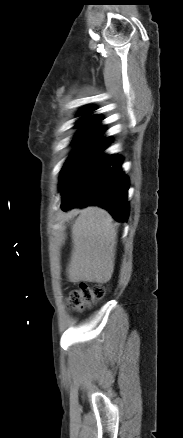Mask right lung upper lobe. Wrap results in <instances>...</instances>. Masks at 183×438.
<instances>
[{
    "label": "right lung upper lobe",
    "mask_w": 183,
    "mask_h": 438,
    "mask_svg": "<svg viewBox=\"0 0 183 438\" xmlns=\"http://www.w3.org/2000/svg\"><path fill=\"white\" fill-rule=\"evenodd\" d=\"M93 109H94L93 107H87L80 112V115L89 113V112L93 111ZM99 122H100L99 116L94 115V116L85 117L84 119H81L77 123V126H81L83 128V130H96V131H98L101 128V126H97V124Z\"/></svg>",
    "instance_id": "cb5924a9"
}]
</instances>
